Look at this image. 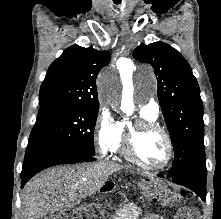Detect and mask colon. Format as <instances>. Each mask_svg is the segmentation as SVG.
Returning <instances> with one entry per match:
<instances>
[{"mask_svg":"<svg viewBox=\"0 0 221 219\" xmlns=\"http://www.w3.org/2000/svg\"><path fill=\"white\" fill-rule=\"evenodd\" d=\"M89 212L85 209H73L59 215L58 219H88ZM174 219H199V213L195 208H182Z\"/></svg>","mask_w":221,"mask_h":219,"instance_id":"1","label":"colon"}]
</instances>
